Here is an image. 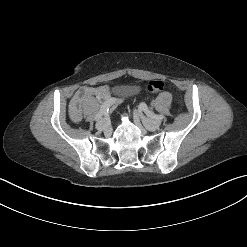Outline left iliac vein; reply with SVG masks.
<instances>
[{"label": "left iliac vein", "mask_w": 247, "mask_h": 247, "mask_svg": "<svg viewBox=\"0 0 247 247\" xmlns=\"http://www.w3.org/2000/svg\"><path fill=\"white\" fill-rule=\"evenodd\" d=\"M134 114L141 119V121L147 125L149 128H157L161 125V120L159 119H152V118H146L143 113L140 110H135Z\"/></svg>", "instance_id": "obj_1"}]
</instances>
